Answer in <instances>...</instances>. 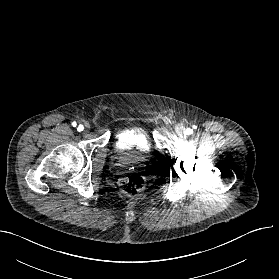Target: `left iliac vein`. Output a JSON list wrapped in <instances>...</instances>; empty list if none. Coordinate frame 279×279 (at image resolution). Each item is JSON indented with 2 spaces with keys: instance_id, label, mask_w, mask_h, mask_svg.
<instances>
[{
  "instance_id": "left-iliac-vein-1",
  "label": "left iliac vein",
  "mask_w": 279,
  "mask_h": 279,
  "mask_svg": "<svg viewBox=\"0 0 279 279\" xmlns=\"http://www.w3.org/2000/svg\"><path fill=\"white\" fill-rule=\"evenodd\" d=\"M175 133L179 137H183L185 135V128L182 125H177L175 128Z\"/></svg>"
}]
</instances>
